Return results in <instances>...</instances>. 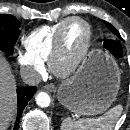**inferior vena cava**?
I'll return each instance as SVG.
<instances>
[{"instance_id":"inferior-vena-cava-1","label":"inferior vena cava","mask_w":130,"mask_h":130,"mask_svg":"<svg viewBox=\"0 0 130 130\" xmlns=\"http://www.w3.org/2000/svg\"><path fill=\"white\" fill-rule=\"evenodd\" d=\"M23 81L31 86L38 85L41 82V75L32 67H24L21 71Z\"/></svg>"}]
</instances>
